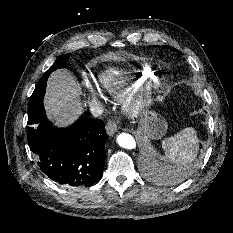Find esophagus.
Returning a JSON list of instances; mask_svg holds the SVG:
<instances>
[{"label":"esophagus","instance_id":"1","mask_svg":"<svg viewBox=\"0 0 233 233\" xmlns=\"http://www.w3.org/2000/svg\"><path fill=\"white\" fill-rule=\"evenodd\" d=\"M119 120L110 119L105 126L106 132L109 136H112L118 129Z\"/></svg>","mask_w":233,"mask_h":233}]
</instances>
